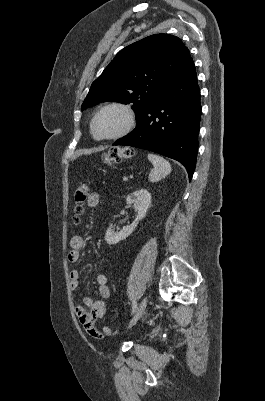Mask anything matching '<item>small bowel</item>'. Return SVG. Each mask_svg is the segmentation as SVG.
<instances>
[{
	"instance_id": "obj_1",
	"label": "small bowel",
	"mask_w": 265,
	"mask_h": 401,
	"mask_svg": "<svg viewBox=\"0 0 265 401\" xmlns=\"http://www.w3.org/2000/svg\"><path fill=\"white\" fill-rule=\"evenodd\" d=\"M100 202V196L98 193L93 192L90 194L88 199L89 207H96ZM70 251L68 252V261L75 263L80 259L81 250L84 247V239L80 235H74L70 239ZM71 289H77L79 285V272L72 270L69 273ZM97 289L100 297L106 299L110 296V288L108 286V276L103 273H99L95 277ZM83 306L76 305L75 313L80 323L87 328L90 325L94 327V323L97 319L103 318L106 314V305L103 300H93L91 297H85L83 299Z\"/></svg>"
}]
</instances>
